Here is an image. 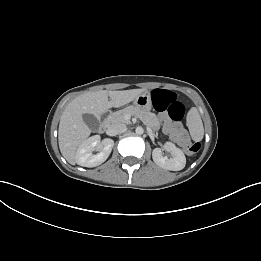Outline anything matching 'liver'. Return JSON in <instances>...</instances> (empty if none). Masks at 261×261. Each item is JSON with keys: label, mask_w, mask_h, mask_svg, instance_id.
Segmentation results:
<instances>
[{"label": "liver", "mask_w": 261, "mask_h": 261, "mask_svg": "<svg viewBox=\"0 0 261 261\" xmlns=\"http://www.w3.org/2000/svg\"><path fill=\"white\" fill-rule=\"evenodd\" d=\"M145 91V89L100 90L87 92L73 99L64 109L59 123L58 141L63 157L74 165L77 148L91 134L90 128L83 120L84 114L100 117L112 107L118 108L132 102Z\"/></svg>", "instance_id": "6515ba94"}]
</instances>
